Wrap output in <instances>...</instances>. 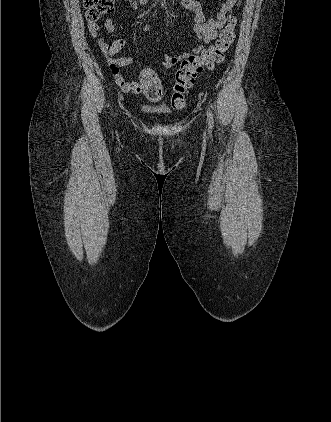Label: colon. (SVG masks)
<instances>
[{"label":"colon","mask_w":331,"mask_h":422,"mask_svg":"<svg viewBox=\"0 0 331 422\" xmlns=\"http://www.w3.org/2000/svg\"><path fill=\"white\" fill-rule=\"evenodd\" d=\"M116 0H83L86 9V19L96 23L103 15L110 13L115 8ZM237 18L234 13L228 17L227 24L221 30L219 37L213 45L206 49L202 55L184 59L176 73L171 96L172 106L181 109L185 105V94L194 85L197 76L204 69H213L221 63L225 54L235 40V28ZM139 82L142 85V93L149 100H159L163 95V86L157 73L144 68L139 73Z\"/></svg>","instance_id":"5ec220e1"}]
</instances>
